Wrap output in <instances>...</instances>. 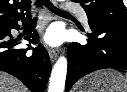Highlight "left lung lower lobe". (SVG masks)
Returning <instances> with one entry per match:
<instances>
[{
	"instance_id": "obj_1",
	"label": "left lung lower lobe",
	"mask_w": 127,
	"mask_h": 92,
	"mask_svg": "<svg viewBox=\"0 0 127 92\" xmlns=\"http://www.w3.org/2000/svg\"><path fill=\"white\" fill-rule=\"evenodd\" d=\"M91 34L86 45L68 46L66 90L81 77L100 69L127 70V22L88 20Z\"/></svg>"
}]
</instances>
